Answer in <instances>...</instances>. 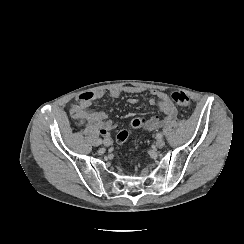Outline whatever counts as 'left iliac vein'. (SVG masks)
Instances as JSON below:
<instances>
[{
	"label": "left iliac vein",
	"mask_w": 244,
	"mask_h": 244,
	"mask_svg": "<svg viewBox=\"0 0 244 244\" xmlns=\"http://www.w3.org/2000/svg\"><path fill=\"white\" fill-rule=\"evenodd\" d=\"M156 146L158 147V148H163L164 147V145H165V141L162 139V138H159V139H157V141H156Z\"/></svg>",
	"instance_id": "4c4485c4"
}]
</instances>
